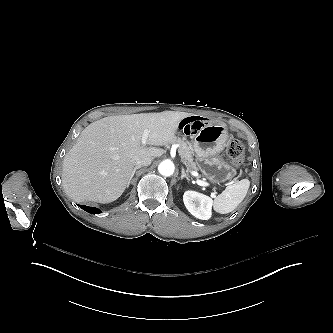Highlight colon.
Segmentation results:
<instances>
[{
    "mask_svg": "<svg viewBox=\"0 0 333 333\" xmlns=\"http://www.w3.org/2000/svg\"><path fill=\"white\" fill-rule=\"evenodd\" d=\"M245 148L239 140H232L227 146V156L237 162L241 163Z\"/></svg>",
    "mask_w": 333,
    "mask_h": 333,
    "instance_id": "1",
    "label": "colon"
}]
</instances>
